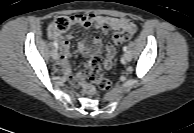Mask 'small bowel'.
I'll use <instances>...</instances> for the list:
<instances>
[{"mask_svg": "<svg viewBox=\"0 0 194 133\" xmlns=\"http://www.w3.org/2000/svg\"><path fill=\"white\" fill-rule=\"evenodd\" d=\"M72 24H79L83 28L88 29L91 26H95L103 34H107L109 30L114 31H129L134 33L136 31V25L129 19L126 18H117L110 17L105 15H96V14H75L70 17ZM49 36L54 38L58 42L63 50V54L59 60V66L64 72L65 75L70 74V65L68 61V47L69 39L72 37L71 34L66 36H59L49 28ZM102 48V41L99 37H95L92 41V46H88L87 38L82 39L78 44L79 52L88 56L92 52H100ZM106 58L104 60V67L110 69L113 65V58L116 54V48L113 44H108L105 47Z\"/></svg>", "mask_w": 194, "mask_h": 133, "instance_id": "obj_1", "label": "small bowel"}]
</instances>
